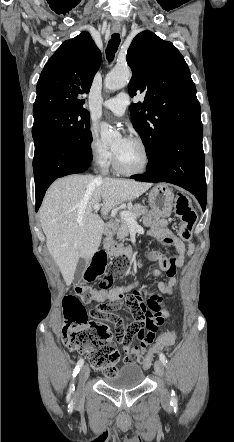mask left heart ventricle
Segmentation results:
<instances>
[{"mask_svg": "<svg viewBox=\"0 0 234 442\" xmlns=\"http://www.w3.org/2000/svg\"><path fill=\"white\" fill-rule=\"evenodd\" d=\"M113 151L116 153L120 165L126 170L139 169L143 164L142 149L133 141L119 139L113 145Z\"/></svg>", "mask_w": 234, "mask_h": 442, "instance_id": "obj_1", "label": "left heart ventricle"}]
</instances>
